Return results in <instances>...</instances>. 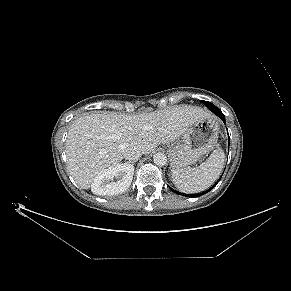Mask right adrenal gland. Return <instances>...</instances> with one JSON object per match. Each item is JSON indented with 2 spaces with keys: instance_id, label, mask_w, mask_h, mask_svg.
Returning <instances> with one entry per match:
<instances>
[{
  "instance_id": "2a0ac1e0",
  "label": "right adrenal gland",
  "mask_w": 291,
  "mask_h": 291,
  "mask_svg": "<svg viewBox=\"0 0 291 291\" xmlns=\"http://www.w3.org/2000/svg\"><path fill=\"white\" fill-rule=\"evenodd\" d=\"M134 163H135V161L131 162V165L133 166V165H134Z\"/></svg>"
}]
</instances>
